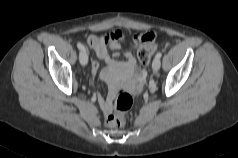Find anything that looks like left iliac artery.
Wrapping results in <instances>:
<instances>
[{"instance_id": "44dca946", "label": "left iliac artery", "mask_w": 238, "mask_h": 158, "mask_svg": "<svg viewBox=\"0 0 238 158\" xmlns=\"http://www.w3.org/2000/svg\"><path fill=\"white\" fill-rule=\"evenodd\" d=\"M161 56H162V53L161 52H158L157 54H156V56H155V58H161Z\"/></svg>"}]
</instances>
